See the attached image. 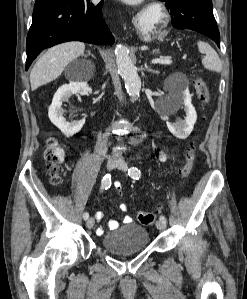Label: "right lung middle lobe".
Returning a JSON list of instances; mask_svg holds the SVG:
<instances>
[{"label":"right lung middle lobe","mask_w":247,"mask_h":299,"mask_svg":"<svg viewBox=\"0 0 247 299\" xmlns=\"http://www.w3.org/2000/svg\"><path fill=\"white\" fill-rule=\"evenodd\" d=\"M47 1H49V0H36L34 7L39 6V5L43 4V3H46Z\"/></svg>","instance_id":"dd1d6c3e"}]
</instances>
